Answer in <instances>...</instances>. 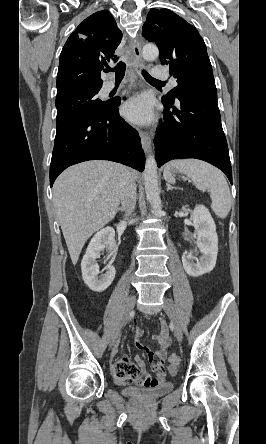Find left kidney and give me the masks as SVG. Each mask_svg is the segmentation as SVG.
Returning <instances> with one entry per match:
<instances>
[{"label": "left kidney", "instance_id": "left-kidney-1", "mask_svg": "<svg viewBox=\"0 0 266 444\" xmlns=\"http://www.w3.org/2000/svg\"><path fill=\"white\" fill-rule=\"evenodd\" d=\"M193 225L197 232L196 245L202 256L199 261L192 252L185 251L182 263L186 273L192 277H199L213 270L218 253V236L214 220L203 205H197L193 211ZM196 259L197 263L193 260Z\"/></svg>", "mask_w": 266, "mask_h": 444}]
</instances>
